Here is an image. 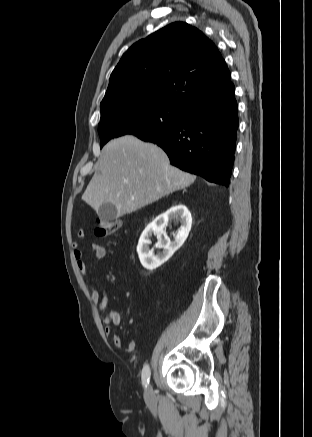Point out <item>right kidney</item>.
Returning <instances> with one entry per match:
<instances>
[{
	"mask_svg": "<svg viewBox=\"0 0 312 437\" xmlns=\"http://www.w3.org/2000/svg\"><path fill=\"white\" fill-rule=\"evenodd\" d=\"M171 220L181 224L173 242H171L166 235V224ZM191 225V213L187 207L182 204L173 206L155 218V220L145 228L138 242L137 253L142 266L148 270H154L165 263L174 252L183 245L191 230ZM152 234L158 238L156 247L164 249L162 254L155 255L153 249H149Z\"/></svg>",
	"mask_w": 312,
	"mask_h": 437,
	"instance_id": "obj_1",
	"label": "right kidney"
}]
</instances>
